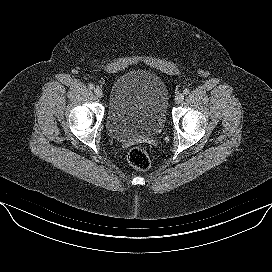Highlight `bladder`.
<instances>
[{
    "label": "bladder",
    "mask_w": 272,
    "mask_h": 272,
    "mask_svg": "<svg viewBox=\"0 0 272 272\" xmlns=\"http://www.w3.org/2000/svg\"><path fill=\"white\" fill-rule=\"evenodd\" d=\"M169 92L156 73L132 69L111 85L106 129L117 140L158 134L167 119Z\"/></svg>",
    "instance_id": "1"
}]
</instances>
